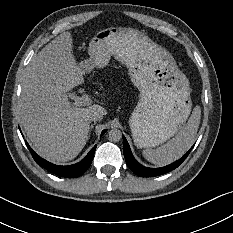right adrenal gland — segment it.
Wrapping results in <instances>:
<instances>
[{"instance_id":"right-adrenal-gland-1","label":"right adrenal gland","mask_w":233,"mask_h":233,"mask_svg":"<svg viewBox=\"0 0 233 233\" xmlns=\"http://www.w3.org/2000/svg\"><path fill=\"white\" fill-rule=\"evenodd\" d=\"M94 125H95V123H92V124L90 125V134H91V132H92V128H93ZM90 134H89L88 139L90 138Z\"/></svg>"}]
</instances>
